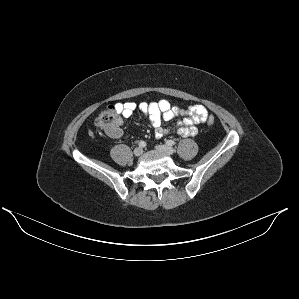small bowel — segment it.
I'll list each match as a JSON object with an SVG mask.
<instances>
[{"label": "small bowel", "instance_id": "c3829d8e", "mask_svg": "<svg viewBox=\"0 0 299 299\" xmlns=\"http://www.w3.org/2000/svg\"><path fill=\"white\" fill-rule=\"evenodd\" d=\"M113 108L122 117L128 119L135 111H140L146 115L154 129L156 138H162L169 133L167 128L162 126L163 121H170L177 116H184L177 122L176 131L183 137L193 136L197 133V125L205 122L208 116L207 109L202 105H194L184 110L173 106L167 100L157 102H117ZM122 135L121 130L115 134H110L112 138H119Z\"/></svg>", "mask_w": 299, "mask_h": 299}]
</instances>
